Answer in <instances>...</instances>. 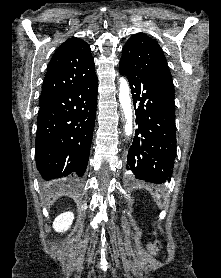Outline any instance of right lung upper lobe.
<instances>
[{"instance_id": "right-lung-upper-lobe-1", "label": "right lung upper lobe", "mask_w": 221, "mask_h": 278, "mask_svg": "<svg viewBox=\"0 0 221 278\" xmlns=\"http://www.w3.org/2000/svg\"><path fill=\"white\" fill-rule=\"evenodd\" d=\"M94 59L89 45L73 37L54 53L42 85V94L80 84L95 76Z\"/></svg>"}]
</instances>
